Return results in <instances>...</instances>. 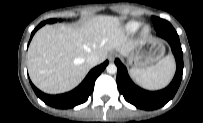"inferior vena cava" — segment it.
Masks as SVG:
<instances>
[{
  "instance_id": "1",
  "label": "inferior vena cava",
  "mask_w": 203,
  "mask_h": 123,
  "mask_svg": "<svg viewBox=\"0 0 203 123\" xmlns=\"http://www.w3.org/2000/svg\"><path fill=\"white\" fill-rule=\"evenodd\" d=\"M87 63L90 65V66H95L98 64L99 62V57L97 55H94V54H91L87 57L86 59Z\"/></svg>"
}]
</instances>
